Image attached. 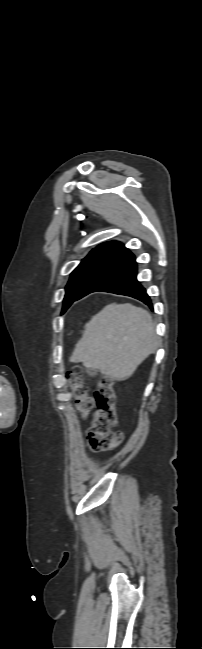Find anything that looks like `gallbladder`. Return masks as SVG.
Returning a JSON list of instances; mask_svg holds the SVG:
<instances>
[{"instance_id": "1", "label": "gallbladder", "mask_w": 202, "mask_h": 649, "mask_svg": "<svg viewBox=\"0 0 202 649\" xmlns=\"http://www.w3.org/2000/svg\"><path fill=\"white\" fill-rule=\"evenodd\" d=\"M85 371H86L87 374H89L90 376H95V375L97 374V370H95V369H93V368H86Z\"/></svg>"}]
</instances>
